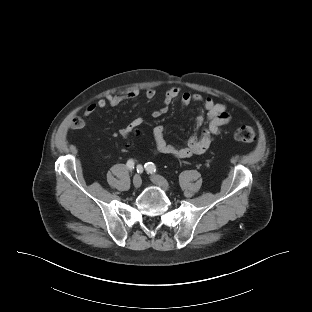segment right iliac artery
I'll list each match as a JSON object with an SVG mask.
<instances>
[{"label": "right iliac artery", "instance_id": "82829eb1", "mask_svg": "<svg viewBox=\"0 0 312 312\" xmlns=\"http://www.w3.org/2000/svg\"><path fill=\"white\" fill-rule=\"evenodd\" d=\"M127 167L128 169L131 171L132 169H134V161L132 159L127 161ZM137 172L138 173H142L143 172V167L141 165L137 166Z\"/></svg>", "mask_w": 312, "mask_h": 312}]
</instances>
